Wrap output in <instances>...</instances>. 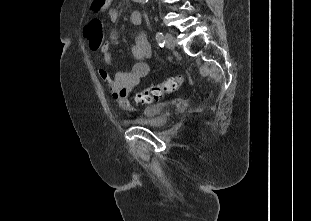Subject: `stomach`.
<instances>
[{
  "label": "stomach",
  "mask_w": 311,
  "mask_h": 221,
  "mask_svg": "<svg viewBox=\"0 0 311 221\" xmlns=\"http://www.w3.org/2000/svg\"><path fill=\"white\" fill-rule=\"evenodd\" d=\"M110 0H95L94 4H97V8L100 12V10H104V8H107V4H109Z\"/></svg>",
  "instance_id": "1"
}]
</instances>
